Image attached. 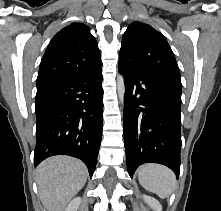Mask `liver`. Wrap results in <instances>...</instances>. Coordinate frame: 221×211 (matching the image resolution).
<instances>
[{"mask_svg": "<svg viewBox=\"0 0 221 211\" xmlns=\"http://www.w3.org/2000/svg\"><path fill=\"white\" fill-rule=\"evenodd\" d=\"M88 171L85 164L69 156H54L36 169V181L43 206L48 211H64L83 188Z\"/></svg>", "mask_w": 221, "mask_h": 211, "instance_id": "6515ba94", "label": "liver"}]
</instances>
